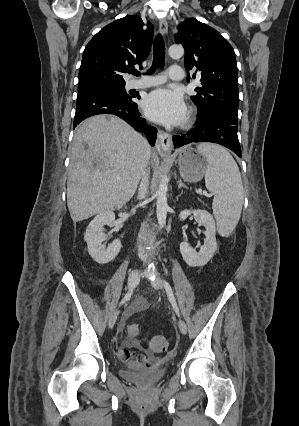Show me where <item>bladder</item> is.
<instances>
[{
  "label": "bladder",
  "instance_id": "31cf9c89",
  "mask_svg": "<svg viewBox=\"0 0 299 426\" xmlns=\"http://www.w3.org/2000/svg\"><path fill=\"white\" fill-rule=\"evenodd\" d=\"M166 374V369L158 368L152 370H122L120 375L138 385H151L158 382Z\"/></svg>",
  "mask_w": 299,
  "mask_h": 426
}]
</instances>
